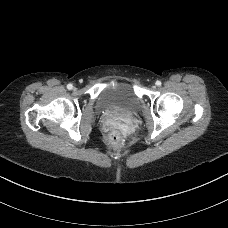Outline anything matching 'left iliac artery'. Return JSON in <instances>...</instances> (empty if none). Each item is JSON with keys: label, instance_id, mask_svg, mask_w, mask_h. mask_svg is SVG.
Masks as SVG:
<instances>
[{"label": "left iliac artery", "instance_id": "left-iliac-artery-1", "mask_svg": "<svg viewBox=\"0 0 228 228\" xmlns=\"http://www.w3.org/2000/svg\"><path fill=\"white\" fill-rule=\"evenodd\" d=\"M156 85H157V86H161V81L157 80V81H156Z\"/></svg>", "mask_w": 228, "mask_h": 228}]
</instances>
